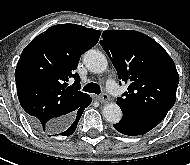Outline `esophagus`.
I'll list each match as a JSON object with an SVG mask.
<instances>
[{"label":"esophagus","instance_id":"34e87169","mask_svg":"<svg viewBox=\"0 0 190 165\" xmlns=\"http://www.w3.org/2000/svg\"><path fill=\"white\" fill-rule=\"evenodd\" d=\"M98 100H99L101 103H107V102L110 101V97H109L108 94L103 93L102 95H100V96L98 97Z\"/></svg>","mask_w":190,"mask_h":165}]
</instances>
